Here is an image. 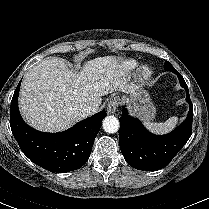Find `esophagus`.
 Masks as SVG:
<instances>
[{
  "mask_svg": "<svg viewBox=\"0 0 209 209\" xmlns=\"http://www.w3.org/2000/svg\"><path fill=\"white\" fill-rule=\"evenodd\" d=\"M120 105V100L117 97L112 98L107 105L108 114H113L116 112L117 108Z\"/></svg>",
  "mask_w": 209,
  "mask_h": 209,
  "instance_id": "1",
  "label": "esophagus"
}]
</instances>
